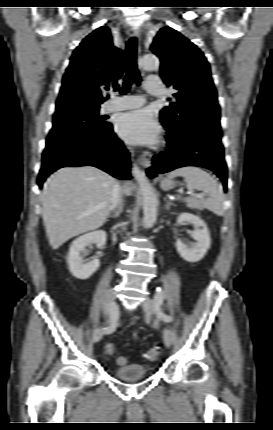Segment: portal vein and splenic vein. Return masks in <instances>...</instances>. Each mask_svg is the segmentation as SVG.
<instances>
[{
    "label": "portal vein and splenic vein",
    "mask_w": 273,
    "mask_h": 430,
    "mask_svg": "<svg viewBox=\"0 0 273 430\" xmlns=\"http://www.w3.org/2000/svg\"><path fill=\"white\" fill-rule=\"evenodd\" d=\"M188 194L190 196H196V197H201V198L204 196V194H202V193L196 194V193H193V192H188Z\"/></svg>",
    "instance_id": "obj_1"
}]
</instances>
